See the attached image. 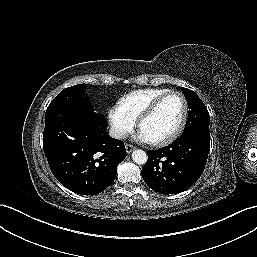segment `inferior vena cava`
I'll return each instance as SVG.
<instances>
[{"mask_svg": "<svg viewBox=\"0 0 257 257\" xmlns=\"http://www.w3.org/2000/svg\"><path fill=\"white\" fill-rule=\"evenodd\" d=\"M109 135H110V137L115 138V139H125L128 134L124 129L112 126L109 129Z\"/></svg>", "mask_w": 257, "mask_h": 257, "instance_id": "1", "label": "inferior vena cava"}]
</instances>
